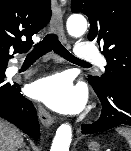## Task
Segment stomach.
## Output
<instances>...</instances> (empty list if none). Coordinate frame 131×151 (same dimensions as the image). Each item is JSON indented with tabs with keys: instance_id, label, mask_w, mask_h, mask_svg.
<instances>
[{
	"instance_id": "0dacf381",
	"label": "stomach",
	"mask_w": 131,
	"mask_h": 151,
	"mask_svg": "<svg viewBox=\"0 0 131 151\" xmlns=\"http://www.w3.org/2000/svg\"><path fill=\"white\" fill-rule=\"evenodd\" d=\"M88 147L90 151H100V145L97 142H90Z\"/></svg>"
}]
</instances>
